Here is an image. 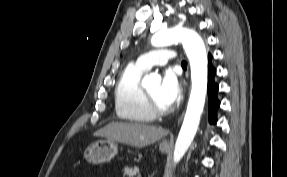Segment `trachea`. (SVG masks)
<instances>
[{"instance_id":"obj_1","label":"trachea","mask_w":287,"mask_h":177,"mask_svg":"<svg viewBox=\"0 0 287 177\" xmlns=\"http://www.w3.org/2000/svg\"><path fill=\"white\" fill-rule=\"evenodd\" d=\"M181 65H182V66H186L187 63H186L185 61H182Z\"/></svg>"}]
</instances>
